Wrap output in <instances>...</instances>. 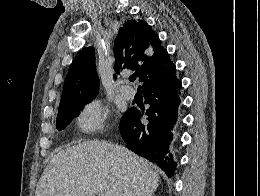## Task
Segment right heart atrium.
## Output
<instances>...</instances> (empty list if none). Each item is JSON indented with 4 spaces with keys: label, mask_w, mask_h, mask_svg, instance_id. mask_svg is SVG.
<instances>
[{
    "label": "right heart atrium",
    "mask_w": 260,
    "mask_h": 196,
    "mask_svg": "<svg viewBox=\"0 0 260 196\" xmlns=\"http://www.w3.org/2000/svg\"><path fill=\"white\" fill-rule=\"evenodd\" d=\"M107 117V111L102 108L99 100L94 99L86 103L76 117L79 129L89 132L103 127ZM83 143H105L97 139H87ZM126 163V162H125Z\"/></svg>",
    "instance_id": "right-heart-atrium-1"
}]
</instances>
